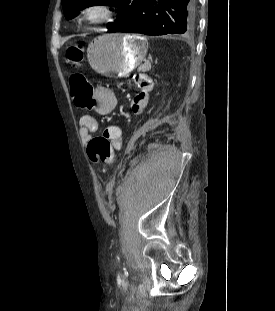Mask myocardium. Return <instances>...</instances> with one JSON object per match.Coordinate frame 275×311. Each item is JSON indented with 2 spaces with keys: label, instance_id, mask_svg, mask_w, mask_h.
<instances>
[{
  "label": "myocardium",
  "instance_id": "f54148a6",
  "mask_svg": "<svg viewBox=\"0 0 275 311\" xmlns=\"http://www.w3.org/2000/svg\"><path fill=\"white\" fill-rule=\"evenodd\" d=\"M114 6L107 2H95L81 8L77 13V19L91 26L104 25L116 19Z\"/></svg>",
  "mask_w": 275,
  "mask_h": 311
}]
</instances>
